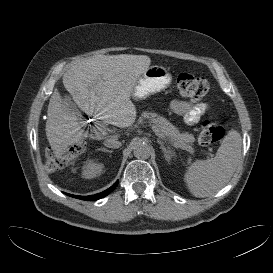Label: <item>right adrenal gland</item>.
Here are the masks:
<instances>
[{"label": "right adrenal gland", "instance_id": "obj_1", "mask_svg": "<svg viewBox=\"0 0 273 273\" xmlns=\"http://www.w3.org/2000/svg\"><path fill=\"white\" fill-rule=\"evenodd\" d=\"M98 150H100V151H104V152H108V153H112L113 152V150H108V149H106V148H98Z\"/></svg>", "mask_w": 273, "mask_h": 273}]
</instances>
